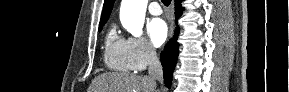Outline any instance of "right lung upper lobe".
I'll return each instance as SVG.
<instances>
[{
  "label": "right lung upper lobe",
  "mask_w": 289,
  "mask_h": 92,
  "mask_svg": "<svg viewBox=\"0 0 289 92\" xmlns=\"http://www.w3.org/2000/svg\"><path fill=\"white\" fill-rule=\"evenodd\" d=\"M115 0H105L99 25L105 24L110 16Z\"/></svg>",
  "instance_id": "obj_1"
}]
</instances>
